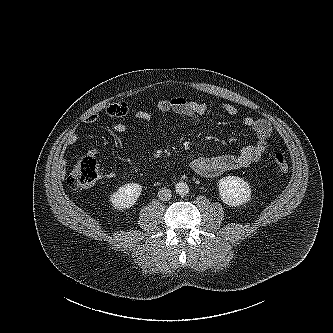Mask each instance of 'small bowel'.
<instances>
[{"label": "small bowel", "instance_id": "1", "mask_svg": "<svg viewBox=\"0 0 333 333\" xmlns=\"http://www.w3.org/2000/svg\"><path fill=\"white\" fill-rule=\"evenodd\" d=\"M157 109L161 113H175L189 117L197 122H200L203 116L208 112V105L202 102L188 100L182 96H175L169 99H162L156 103ZM222 110L229 116L235 117L238 115V109L230 104L224 103ZM129 112V105L126 102H118L107 106L106 113L111 117L120 118ZM134 117L144 123H149L152 120V115L143 110L136 111ZM99 120L97 114L88 116L85 121L87 123H95ZM245 127L249 128L255 135L256 141L253 145L244 147L238 154H224L216 157H198L191 161V170L199 176L205 178L217 177L227 171L246 168L253 163L258 162L269 150V138L272 133V127L266 119H256L251 116H246L242 119ZM112 130L115 133H126L129 127L121 122L112 125ZM78 137L76 134H70L66 140L68 146H73L77 143ZM96 154V151H92ZM114 172H108L107 178H114Z\"/></svg>", "mask_w": 333, "mask_h": 333}]
</instances>
